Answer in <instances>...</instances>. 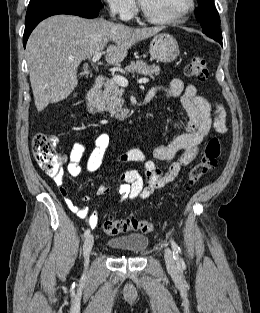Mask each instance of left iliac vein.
<instances>
[{
  "label": "left iliac vein",
  "instance_id": "obj_1",
  "mask_svg": "<svg viewBox=\"0 0 260 313\" xmlns=\"http://www.w3.org/2000/svg\"><path fill=\"white\" fill-rule=\"evenodd\" d=\"M164 257H165L166 265L172 270L175 269L176 263H175V260L173 258L172 251L169 248L165 249Z\"/></svg>",
  "mask_w": 260,
  "mask_h": 313
}]
</instances>
